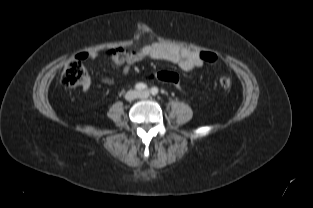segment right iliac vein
Instances as JSON below:
<instances>
[{
    "mask_svg": "<svg viewBox=\"0 0 313 208\" xmlns=\"http://www.w3.org/2000/svg\"><path fill=\"white\" fill-rule=\"evenodd\" d=\"M137 97H138V92L135 91V90H130V91H128V92L126 93V95H125V99H126L127 101H133V100H135Z\"/></svg>",
    "mask_w": 313,
    "mask_h": 208,
    "instance_id": "right-iliac-vein-1",
    "label": "right iliac vein"
}]
</instances>
